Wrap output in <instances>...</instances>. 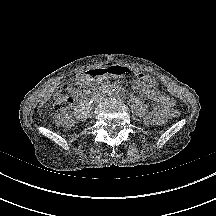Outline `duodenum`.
I'll return each mask as SVG.
<instances>
[{
	"instance_id": "410a0bca",
	"label": "duodenum",
	"mask_w": 216,
	"mask_h": 216,
	"mask_svg": "<svg viewBox=\"0 0 216 216\" xmlns=\"http://www.w3.org/2000/svg\"><path fill=\"white\" fill-rule=\"evenodd\" d=\"M109 89H110L109 87H102L99 91H96V92H85L82 94L81 98L88 100V99H91V98L101 94V93L108 91Z\"/></svg>"
}]
</instances>
